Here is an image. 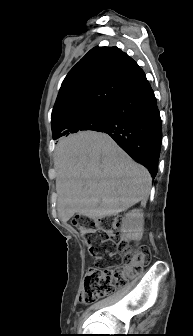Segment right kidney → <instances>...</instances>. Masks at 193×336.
I'll return each mask as SVG.
<instances>
[{"label": "right kidney", "mask_w": 193, "mask_h": 336, "mask_svg": "<svg viewBox=\"0 0 193 336\" xmlns=\"http://www.w3.org/2000/svg\"><path fill=\"white\" fill-rule=\"evenodd\" d=\"M144 231V214L141 209H134L125 215L121 225V237L125 241L140 240Z\"/></svg>", "instance_id": "right-kidney-1"}]
</instances>
